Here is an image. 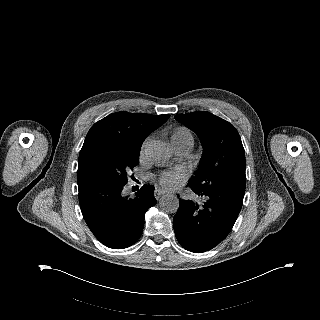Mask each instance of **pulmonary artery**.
I'll use <instances>...</instances> for the list:
<instances>
[{"instance_id":"obj_1","label":"pulmonary artery","mask_w":320,"mask_h":320,"mask_svg":"<svg viewBox=\"0 0 320 320\" xmlns=\"http://www.w3.org/2000/svg\"><path fill=\"white\" fill-rule=\"evenodd\" d=\"M174 149V152L179 156H185L191 149L188 143H171Z\"/></svg>"}]
</instances>
